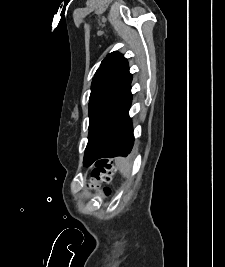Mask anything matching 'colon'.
I'll list each match as a JSON object with an SVG mask.
<instances>
[{"label":"colon","mask_w":225,"mask_h":267,"mask_svg":"<svg viewBox=\"0 0 225 267\" xmlns=\"http://www.w3.org/2000/svg\"><path fill=\"white\" fill-rule=\"evenodd\" d=\"M115 173V166L109 159H102L96 163L92 171L91 179L88 186L91 189H96L103 197H108L111 194L109 184L112 181Z\"/></svg>","instance_id":"5ec220e1"}]
</instances>
